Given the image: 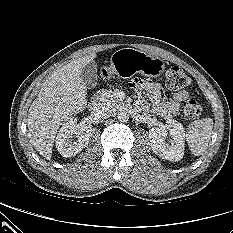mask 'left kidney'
<instances>
[{
    "label": "left kidney",
    "mask_w": 233,
    "mask_h": 233,
    "mask_svg": "<svg viewBox=\"0 0 233 233\" xmlns=\"http://www.w3.org/2000/svg\"><path fill=\"white\" fill-rule=\"evenodd\" d=\"M165 128L153 127L149 130V139L153 152L161 157L173 162H178L184 155L185 129L176 120L167 121ZM170 137L166 141V138Z\"/></svg>",
    "instance_id": "left-kidney-1"
}]
</instances>
